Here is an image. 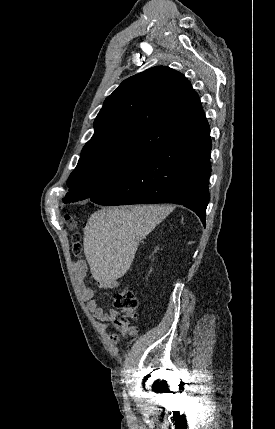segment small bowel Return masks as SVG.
Returning a JSON list of instances; mask_svg holds the SVG:
<instances>
[{
	"instance_id": "c3829d8e",
	"label": "small bowel",
	"mask_w": 275,
	"mask_h": 429,
	"mask_svg": "<svg viewBox=\"0 0 275 429\" xmlns=\"http://www.w3.org/2000/svg\"><path fill=\"white\" fill-rule=\"evenodd\" d=\"M76 271L75 279L77 282V289L79 297L82 301L86 303V308L93 315V317L99 321L107 322L114 319L118 315L116 309H110L107 312L101 308L96 299L94 298V292L85 284V275L87 271V266L85 262H79L74 266ZM102 288H110L114 284L102 282Z\"/></svg>"
}]
</instances>
